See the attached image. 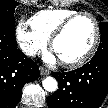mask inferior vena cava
I'll return each mask as SVG.
<instances>
[{
    "label": "inferior vena cava",
    "instance_id": "obj_1",
    "mask_svg": "<svg viewBox=\"0 0 108 108\" xmlns=\"http://www.w3.org/2000/svg\"><path fill=\"white\" fill-rule=\"evenodd\" d=\"M22 50L27 56H35L38 51L35 47L29 45L23 46Z\"/></svg>",
    "mask_w": 108,
    "mask_h": 108
}]
</instances>
